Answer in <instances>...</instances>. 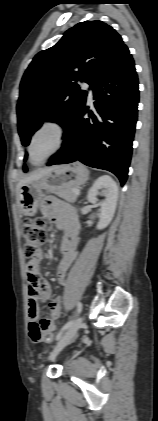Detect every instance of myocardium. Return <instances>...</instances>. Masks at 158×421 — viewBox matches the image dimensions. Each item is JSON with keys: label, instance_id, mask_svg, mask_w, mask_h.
I'll list each match as a JSON object with an SVG mask.
<instances>
[{"label": "myocardium", "instance_id": "f54148a6", "mask_svg": "<svg viewBox=\"0 0 158 421\" xmlns=\"http://www.w3.org/2000/svg\"><path fill=\"white\" fill-rule=\"evenodd\" d=\"M47 127L53 128L57 133L56 146L52 150V152H50L44 159H42L39 162H34L31 156V147H32L33 141L35 137L37 136V134L42 129L47 128ZM66 134H67L66 126H65V123L61 119L57 117H47L43 119L42 121H40L32 130L31 135L29 137L28 144H27V155H28L30 163L36 166L43 165L44 163H46L51 157H53L55 154H57L61 150L66 139Z\"/></svg>", "mask_w": 158, "mask_h": 421}]
</instances>
